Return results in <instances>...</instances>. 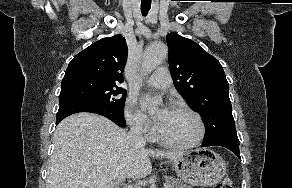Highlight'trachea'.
Listing matches in <instances>:
<instances>
[{"label":"trachea","mask_w":292,"mask_h":188,"mask_svg":"<svg viewBox=\"0 0 292 188\" xmlns=\"http://www.w3.org/2000/svg\"><path fill=\"white\" fill-rule=\"evenodd\" d=\"M151 8V3H141V12L143 16H146Z\"/></svg>","instance_id":"trachea-1"}]
</instances>
